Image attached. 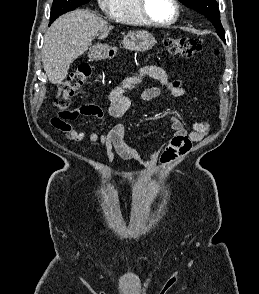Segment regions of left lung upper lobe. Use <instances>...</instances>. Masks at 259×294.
<instances>
[{
	"label": "left lung upper lobe",
	"instance_id": "obj_1",
	"mask_svg": "<svg viewBox=\"0 0 259 294\" xmlns=\"http://www.w3.org/2000/svg\"><path fill=\"white\" fill-rule=\"evenodd\" d=\"M187 7L203 14L216 28L217 34L225 41L224 29L220 21L218 3L215 0H179Z\"/></svg>",
	"mask_w": 259,
	"mask_h": 294
}]
</instances>
